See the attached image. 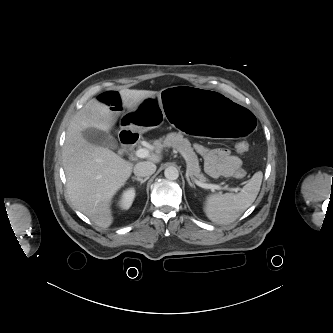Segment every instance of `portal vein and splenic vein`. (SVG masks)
<instances>
[{"instance_id":"obj_1","label":"portal vein and splenic vein","mask_w":333,"mask_h":333,"mask_svg":"<svg viewBox=\"0 0 333 333\" xmlns=\"http://www.w3.org/2000/svg\"><path fill=\"white\" fill-rule=\"evenodd\" d=\"M136 156L139 158H146L149 156V151L145 148H140L136 151ZM195 183L204 189H210L212 191L225 189V190H229V191H233V192H238L240 190L239 188H228L227 186L222 187L217 184H208V183L201 182L199 180H195Z\"/></svg>"}]
</instances>
